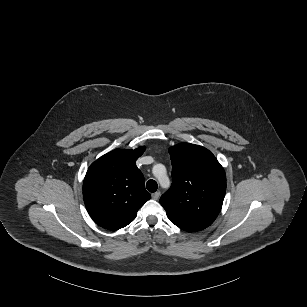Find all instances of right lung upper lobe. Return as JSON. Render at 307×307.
Masks as SVG:
<instances>
[{"label": "right lung upper lobe", "mask_w": 307, "mask_h": 307, "mask_svg": "<svg viewBox=\"0 0 307 307\" xmlns=\"http://www.w3.org/2000/svg\"><path fill=\"white\" fill-rule=\"evenodd\" d=\"M145 150L115 149L96 160L83 182V198L91 218L101 227L117 230L131 223L151 198L135 162Z\"/></svg>", "instance_id": "1"}]
</instances>
